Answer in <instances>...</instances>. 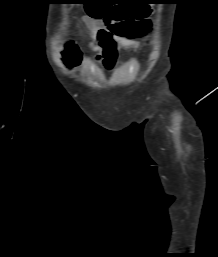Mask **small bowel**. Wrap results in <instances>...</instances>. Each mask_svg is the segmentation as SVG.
Wrapping results in <instances>:
<instances>
[{
	"mask_svg": "<svg viewBox=\"0 0 218 257\" xmlns=\"http://www.w3.org/2000/svg\"><path fill=\"white\" fill-rule=\"evenodd\" d=\"M84 21L90 35L89 46L98 53L94 55V60H101L107 73H118L116 59L119 52L135 51L140 45L139 41L115 34L103 20L85 17Z\"/></svg>",
	"mask_w": 218,
	"mask_h": 257,
	"instance_id": "obj_1",
	"label": "small bowel"
}]
</instances>
